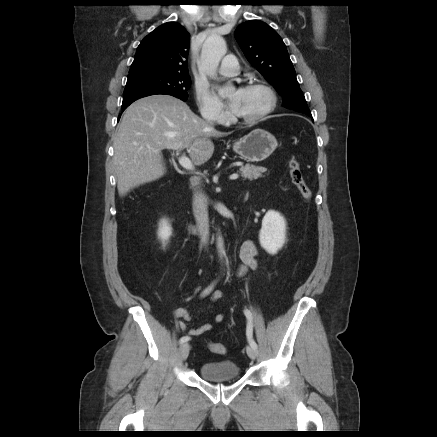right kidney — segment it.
I'll list each match as a JSON object with an SVG mask.
<instances>
[{"instance_id": "right-kidney-1", "label": "right kidney", "mask_w": 437, "mask_h": 437, "mask_svg": "<svg viewBox=\"0 0 437 437\" xmlns=\"http://www.w3.org/2000/svg\"><path fill=\"white\" fill-rule=\"evenodd\" d=\"M172 235V228L167 220H162L159 225L158 237L163 243L167 241Z\"/></svg>"}]
</instances>
